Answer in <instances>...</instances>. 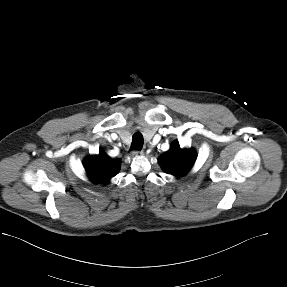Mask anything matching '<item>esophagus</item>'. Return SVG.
Wrapping results in <instances>:
<instances>
[{
	"instance_id": "34e87169",
	"label": "esophagus",
	"mask_w": 287,
	"mask_h": 287,
	"mask_svg": "<svg viewBox=\"0 0 287 287\" xmlns=\"http://www.w3.org/2000/svg\"><path fill=\"white\" fill-rule=\"evenodd\" d=\"M133 156H142L143 155V151L142 150H134L132 152Z\"/></svg>"
}]
</instances>
